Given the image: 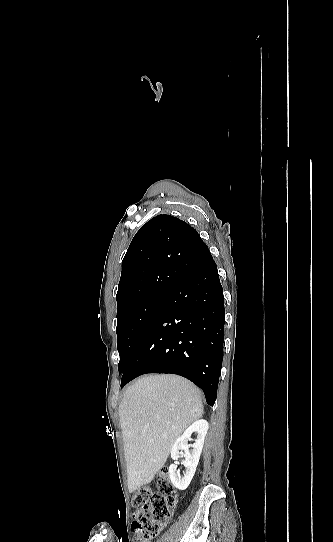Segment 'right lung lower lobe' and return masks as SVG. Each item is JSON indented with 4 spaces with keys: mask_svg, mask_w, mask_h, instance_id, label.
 <instances>
[{
    "mask_svg": "<svg viewBox=\"0 0 333 542\" xmlns=\"http://www.w3.org/2000/svg\"><path fill=\"white\" fill-rule=\"evenodd\" d=\"M185 276L167 293L144 329L122 373L121 388L146 373L181 375L213 406L223 358L225 308L217 266L207 246L195 252L159 251Z\"/></svg>",
    "mask_w": 333,
    "mask_h": 542,
    "instance_id": "obj_1",
    "label": "right lung lower lobe"
}]
</instances>
